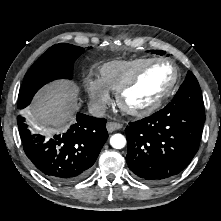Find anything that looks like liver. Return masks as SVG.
Returning <instances> with one entry per match:
<instances>
[{"label":"liver","mask_w":221,"mask_h":221,"mask_svg":"<svg viewBox=\"0 0 221 221\" xmlns=\"http://www.w3.org/2000/svg\"><path fill=\"white\" fill-rule=\"evenodd\" d=\"M78 88L66 81H56L43 88L33 104L24 111L27 121L35 130L49 134L65 130L78 109Z\"/></svg>","instance_id":"6515ba94"}]
</instances>
